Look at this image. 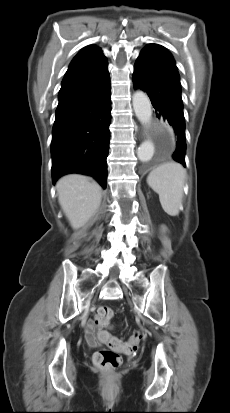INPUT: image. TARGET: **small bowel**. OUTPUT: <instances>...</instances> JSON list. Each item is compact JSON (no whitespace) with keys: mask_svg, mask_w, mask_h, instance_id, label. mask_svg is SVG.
I'll return each mask as SVG.
<instances>
[{"mask_svg":"<svg viewBox=\"0 0 230 413\" xmlns=\"http://www.w3.org/2000/svg\"><path fill=\"white\" fill-rule=\"evenodd\" d=\"M85 334L92 344H109L111 334L97 326L91 319L86 323Z\"/></svg>","mask_w":230,"mask_h":413,"instance_id":"small-bowel-1","label":"small bowel"}]
</instances>
